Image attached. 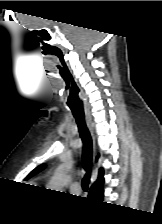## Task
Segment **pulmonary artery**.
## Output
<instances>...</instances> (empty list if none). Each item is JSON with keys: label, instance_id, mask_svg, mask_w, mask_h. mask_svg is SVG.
Listing matches in <instances>:
<instances>
[{"label": "pulmonary artery", "instance_id": "obj_1", "mask_svg": "<svg viewBox=\"0 0 162 224\" xmlns=\"http://www.w3.org/2000/svg\"><path fill=\"white\" fill-rule=\"evenodd\" d=\"M70 191L72 193H79L81 191V185L79 181H74L70 186Z\"/></svg>", "mask_w": 162, "mask_h": 224}]
</instances>
